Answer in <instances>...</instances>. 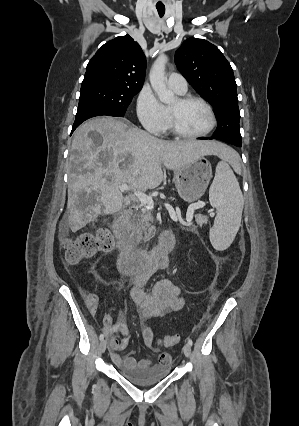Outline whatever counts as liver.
<instances>
[{
	"mask_svg": "<svg viewBox=\"0 0 299 426\" xmlns=\"http://www.w3.org/2000/svg\"><path fill=\"white\" fill-rule=\"evenodd\" d=\"M90 131L99 133V144ZM231 153L216 141H164L112 117L89 120L76 130L71 145L69 226L76 232L101 213L114 214L129 205L134 196H123L120 184L140 192L158 187L162 165L175 171L204 155L228 159Z\"/></svg>",
	"mask_w": 299,
	"mask_h": 426,
	"instance_id": "liver-1",
	"label": "liver"
}]
</instances>
